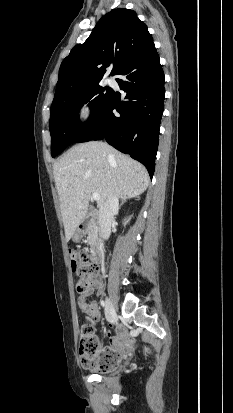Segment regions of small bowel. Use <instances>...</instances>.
Returning a JSON list of instances; mask_svg holds the SVG:
<instances>
[{
	"instance_id": "c3829d8e",
	"label": "small bowel",
	"mask_w": 233,
	"mask_h": 413,
	"mask_svg": "<svg viewBox=\"0 0 233 413\" xmlns=\"http://www.w3.org/2000/svg\"><path fill=\"white\" fill-rule=\"evenodd\" d=\"M100 283L94 279L93 284L85 292L80 293L77 299V305L82 313L90 316L94 322L100 320V312L97 301H87V297L93 293L95 288H99ZM132 346V340L125 334L122 327H117L113 334L109 335V345H100V356L104 357L108 352L116 353L120 356L127 354Z\"/></svg>"
}]
</instances>
